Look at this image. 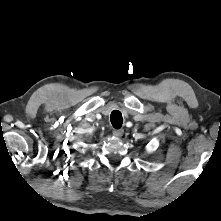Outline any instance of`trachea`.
Segmentation results:
<instances>
[{"mask_svg":"<svg viewBox=\"0 0 221 221\" xmlns=\"http://www.w3.org/2000/svg\"><path fill=\"white\" fill-rule=\"evenodd\" d=\"M110 121L114 128H120L123 124V118L120 111L114 110L111 112Z\"/></svg>","mask_w":221,"mask_h":221,"instance_id":"3493384b","label":"trachea"}]
</instances>
